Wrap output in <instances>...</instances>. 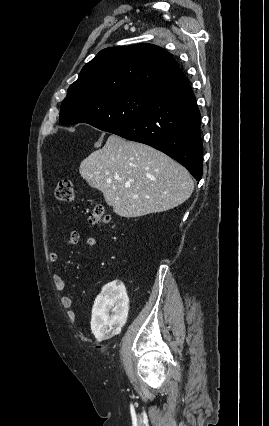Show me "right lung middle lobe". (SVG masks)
<instances>
[{
  "label": "right lung middle lobe",
  "instance_id": "1",
  "mask_svg": "<svg viewBox=\"0 0 269 426\" xmlns=\"http://www.w3.org/2000/svg\"><path fill=\"white\" fill-rule=\"evenodd\" d=\"M157 92L141 89L104 93L86 99L73 93L61 103L59 121L63 125L87 123L112 132L139 118L153 103Z\"/></svg>",
  "mask_w": 269,
  "mask_h": 426
}]
</instances>
